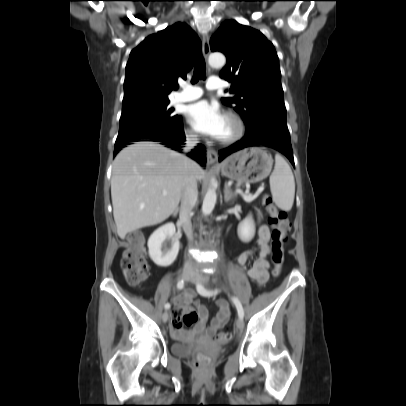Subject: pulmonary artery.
I'll return each instance as SVG.
<instances>
[{"label":"pulmonary artery","mask_w":406,"mask_h":406,"mask_svg":"<svg viewBox=\"0 0 406 406\" xmlns=\"http://www.w3.org/2000/svg\"><path fill=\"white\" fill-rule=\"evenodd\" d=\"M209 90H219L223 88L222 80L218 77H210L206 83ZM203 95V90L197 86H186L182 91L174 96V102H191Z\"/></svg>","instance_id":"e3ab8cb5"}]
</instances>
